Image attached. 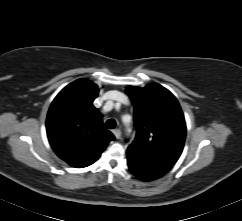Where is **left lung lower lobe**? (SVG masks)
<instances>
[{
    "instance_id": "0a47b994",
    "label": "left lung lower lobe",
    "mask_w": 242,
    "mask_h": 221,
    "mask_svg": "<svg viewBox=\"0 0 242 221\" xmlns=\"http://www.w3.org/2000/svg\"><path fill=\"white\" fill-rule=\"evenodd\" d=\"M128 167L133 175L142 181H152L162 177L172 165L127 150Z\"/></svg>"
}]
</instances>
